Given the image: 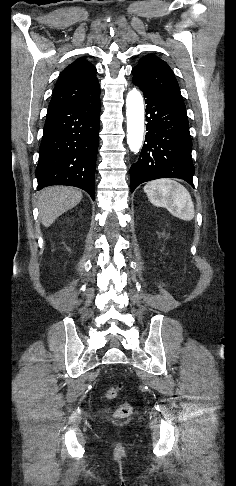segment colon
<instances>
[{
    "label": "colon",
    "instance_id": "1",
    "mask_svg": "<svg viewBox=\"0 0 236 486\" xmlns=\"http://www.w3.org/2000/svg\"><path fill=\"white\" fill-rule=\"evenodd\" d=\"M121 388H122L121 384H117V385L109 388L105 392V397L107 399H114L118 395V393L120 392ZM131 413H132L131 404L128 403V402H125V403H122L121 405H119L116 408L114 415H115L116 418L123 419V418L128 417Z\"/></svg>",
    "mask_w": 236,
    "mask_h": 486
}]
</instances>
